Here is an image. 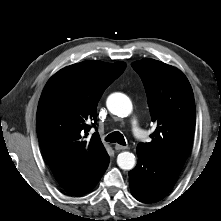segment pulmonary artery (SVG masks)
Returning <instances> with one entry per match:
<instances>
[{
	"label": "pulmonary artery",
	"instance_id": "1",
	"mask_svg": "<svg viewBox=\"0 0 221 221\" xmlns=\"http://www.w3.org/2000/svg\"><path fill=\"white\" fill-rule=\"evenodd\" d=\"M132 132L133 135L137 138V139H142L144 137V132L141 130V128L139 127V124L137 122L136 119H134L132 121Z\"/></svg>",
	"mask_w": 221,
	"mask_h": 221
}]
</instances>
